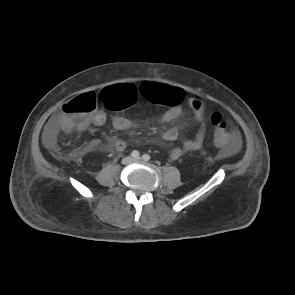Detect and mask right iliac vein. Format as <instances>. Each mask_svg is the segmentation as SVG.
<instances>
[{
  "instance_id": "1",
  "label": "right iliac vein",
  "mask_w": 295,
  "mask_h": 295,
  "mask_svg": "<svg viewBox=\"0 0 295 295\" xmlns=\"http://www.w3.org/2000/svg\"><path fill=\"white\" fill-rule=\"evenodd\" d=\"M131 162H132V158L131 157H126V158L123 159V163L124 164H129Z\"/></svg>"
}]
</instances>
